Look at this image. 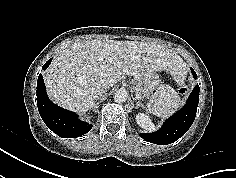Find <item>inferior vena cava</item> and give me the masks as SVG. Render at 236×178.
I'll list each match as a JSON object with an SVG mask.
<instances>
[{
	"label": "inferior vena cava",
	"instance_id": "1",
	"mask_svg": "<svg viewBox=\"0 0 236 178\" xmlns=\"http://www.w3.org/2000/svg\"><path fill=\"white\" fill-rule=\"evenodd\" d=\"M110 85L108 83H98L96 87V95H101L109 89Z\"/></svg>",
	"mask_w": 236,
	"mask_h": 178
}]
</instances>
